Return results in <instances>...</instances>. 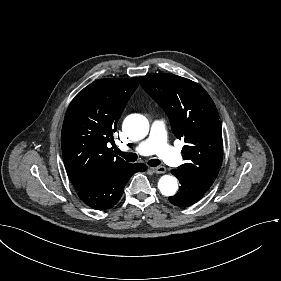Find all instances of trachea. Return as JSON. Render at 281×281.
<instances>
[{"mask_svg":"<svg viewBox=\"0 0 281 281\" xmlns=\"http://www.w3.org/2000/svg\"><path fill=\"white\" fill-rule=\"evenodd\" d=\"M116 153L123 157L127 162H135L138 158L137 154L135 153L122 152L119 149L116 150ZM160 164L161 161L159 159H151L148 161V165L151 167H156Z\"/></svg>","mask_w":281,"mask_h":281,"instance_id":"obj_1","label":"trachea"}]
</instances>
